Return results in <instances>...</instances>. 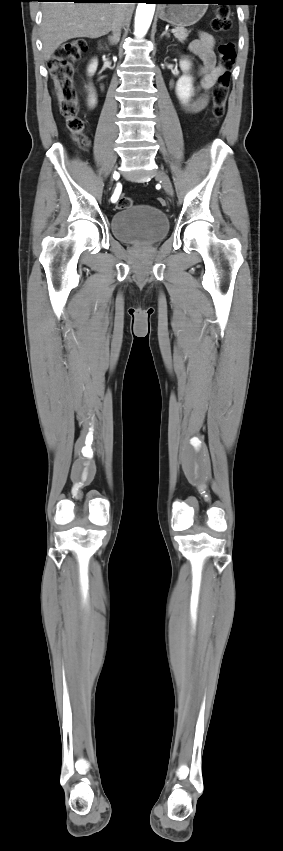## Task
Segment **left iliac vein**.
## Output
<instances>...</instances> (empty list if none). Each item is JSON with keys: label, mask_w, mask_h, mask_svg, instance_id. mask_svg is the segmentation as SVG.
Returning a JSON list of instances; mask_svg holds the SVG:
<instances>
[{"label": "left iliac vein", "mask_w": 283, "mask_h": 851, "mask_svg": "<svg viewBox=\"0 0 283 851\" xmlns=\"http://www.w3.org/2000/svg\"><path fill=\"white\" fill-rule=\"evenodd\" d=\"M156 177L160 180L164 190L169 196H173L174 191L172 187V183L168 177V175L163 170H158L156 172Z\"/></svg>", "instance_id": "left-iliac-vein-1"}]
</instances>
